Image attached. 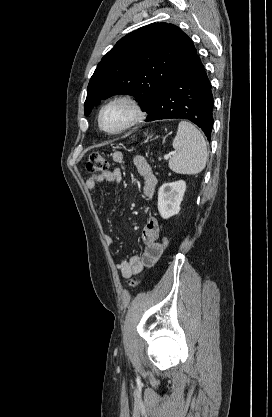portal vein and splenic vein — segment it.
<instances>
[{
	"label": "portal vein and splenic vein",
	"instance_id": "1",
	"mask_svg": "<svg viewBox=\"0 0 272 417\" xmlns=\"http://www.w3.org/2000/svg\"><path fill=\"white\" fill-rule=\"evenodd\" d=\"M172 154H173V153H169V154L164 155V159H165V160L169 159V158L171 157V155H172Z\"/></svg>",
	"mask_w": 272,
	"mask_h": 417
}]
</instances>
